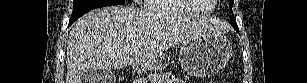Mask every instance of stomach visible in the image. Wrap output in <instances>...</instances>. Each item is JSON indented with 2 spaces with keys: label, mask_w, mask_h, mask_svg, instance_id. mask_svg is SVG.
I'll return each mask as SVG.
<instances>
[{
  "label": "stomach",
  "mask_w": 307,
  "mask_h": 83,
  "mask_svg": "<svg viewBox=\"0 0 307 83\" xmlns=\"http://www.w3.org/2000/svg\"><path fill=\"white\" fill-rule=\"evenodd\" d=\"M232 53L230 41L223 36L197 37L184 42L179 60L183 70L196 77H206L218 73L227 63ZM169 58L164 54L145 60L138 71H159L164 69Z\"/></svg>",
  "instance_id": "1"
}]
</instances>
